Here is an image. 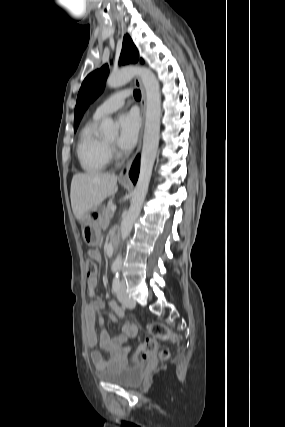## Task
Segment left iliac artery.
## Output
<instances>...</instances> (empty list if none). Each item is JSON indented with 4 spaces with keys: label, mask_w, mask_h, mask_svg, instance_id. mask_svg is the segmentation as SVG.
Wrapping results in <instances>:
<instances>
[{
    "label": "left iliac artery",
    "mask_w": 285,
    "mask_h": 427,
    "mask_svg": "<svg viewBox=\"0 0 285 427\" xmlns=\"http://www.w3.org/2000/svg\"><path fill=\"white\" fill-rule=\"evenodd\" d=\"M119 284H120L119 283V273L117 272L116 275H115V277H114V279H113V284H112L113 290L115 292L118 290Z\"/></svg>",
    "instance_id": "obj_1"
}]
</instances>
